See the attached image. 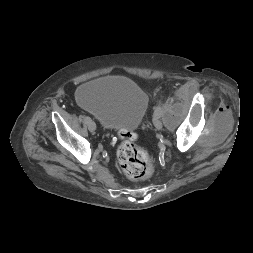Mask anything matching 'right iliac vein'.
Listing matches in <instances>:
<instances>
[{"mask_svg": "<svg viewBox=\"0 0 253 253\" xmlns=\"http://www.w3.org/2000/svg\"><path fill=\"white\" fill-rule=\"evenodd\" d=\"M87 124H88V129L90 131H95L96 130V124L92 120H90Z\"/></svg>", "mask_w": 253, "mask_h": 253, "instance_id": "63e3f726", "label": "right iliac vein"}]
</instances>
